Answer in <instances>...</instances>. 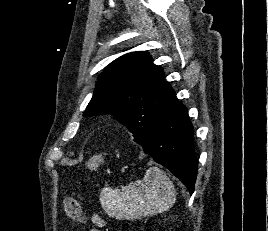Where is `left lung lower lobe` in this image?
I'll return each instance as SVG.
<instances>
[{
	"mask_svg": "<svg viewBox=\"0 0 268 231\" xmlns=\"http://www.w3.org/2000/svg\"><path fill=\"white\" fill-rule=\"evenodd\" d=\"M146 154L163 165L194 191L198 162L194 150V128L186 107L177 101L156 126L136 141Z\"/></svg>",
	"mask_w": 268,
	"mask_h": 231,
	"instance_id": "left-lung-lower-lobe-1",
	"label": "left lung lower lobe"
}]
</instances>
